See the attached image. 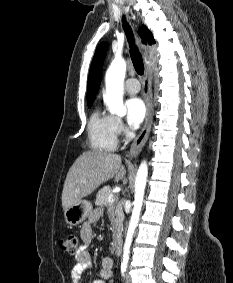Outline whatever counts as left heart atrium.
Segmentation results:
<instances>
[{"label": "left heart atrium", "mask_w": 233, "mask_h": 283, "mask_svg": "<svg viewBox=\"0 0 233 283\" xmlns=\"http://www.w3.org/2000/svg\"><path fill=\"white\" fill-rule=\"evenodd\" d=\"M126 120L130 128L139 127L146 115V107L144 102L138 97H132L125 103Z\"/></svg>", "instance_id": "left-heart-atrium-1"}]
</instances>
